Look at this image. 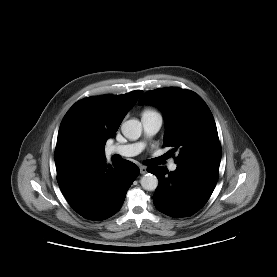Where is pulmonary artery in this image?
<instances>
[{
    "label": "pulmonary artery",
    "instance_id": "pulmonary-artery-1",
    "mask_svg": "<svg viewBox=\"0 0 277 277\" xmlns=\"http://www.w3.org/2000/svg\"><path fill=\"white\" fill-rule=\"evenodd\" d=\"M143 129L147 137L155 135L162 125V117L159 114H143L141 118ZM145 147L143 142L130 143L125 145H112L107 148V154H119L125 157H131L139 154ZM177 164L172 161L169 164V170L175 171Z\"/></svg>",
    "mask_w": 277,
    "mask_h": 277
}]
</instances>
